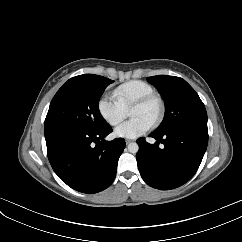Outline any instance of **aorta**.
<instances>
[{"label": "aorta", "mask_w": 242, "mask_h": 242, "mask_svg": "<svg viewBox=\"0 0 242 242\" xmlns=\"http://www.w3.org/2000/svg\"><path fill=\"white\" fill-rule=\"evenodd\" d=\"M138 150H139V146H138V144L136 142L129 143V145H128V151L130 153L135 154V153L138 152Z\"/></svg>", "instance_id": "762f6f07"}]
</instances>
